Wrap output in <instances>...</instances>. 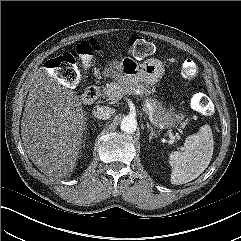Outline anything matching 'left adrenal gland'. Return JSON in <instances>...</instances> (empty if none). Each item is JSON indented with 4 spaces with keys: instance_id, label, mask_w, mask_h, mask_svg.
Listing matches in <instances>:
<instances>
[{
    "instance_id": "left-adrenal-gland-1",
    "label": "left adrenal gland",
    "mask_w": 241,
    "mask_h": 241,
    "mask_svg": "<svg viewBox=\"0 0 241 241\" xmlns=\"http://www.w3.org/2000/svg\"><path fill=\"white\" fill-rule=\"evenodd\" d=\"M147 128L151 131L149 135V141H151L152 138L157 137V134L155 133V131L153 130V128L149 123H147Z\"/></svg>"
}]
</instances>
